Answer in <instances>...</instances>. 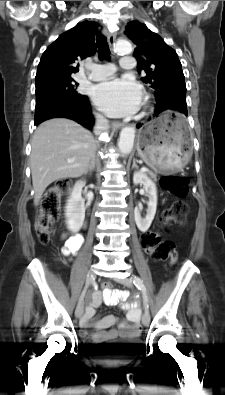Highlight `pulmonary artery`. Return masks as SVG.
<instances>
[{"label": "pulmonary artery", "instance_id": "obj_1", "mask_svg": "<svg viewBox=\"0 0 225 395\" xmlns=\"http://www.w3.org/2000/svg\"><path fill=\"white\" fill-rule=\"evenodd\" d=\"M120 66L126 70L133 69L135 67V60L130 56L123 57L120 60ZM115 71L116 68L113 64H98L93 67L89 79L93 81L105 80L113 75Z\"/></svg>", "mask_w": 225, "mask_h": 395}]
</instances>
